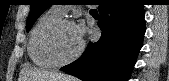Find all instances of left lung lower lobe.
Here are the masks:
<instances>
[{
  "mask_svg": "<svg viewBox=\"0 0 169 81\" xmlns=\"http://www.w3.org/2000/svg\"><path fill=\"white\" fill-rule=\"evenodd\" d=\"M102 30L82 56L61 68L83 81H128L145 33L144 5L138 0H100Z\"/></svg>",
  "mask_w": 169,
  "mask_h": 81,
  "instance_id": "obj_1",
  "label": "left lung lower lobe"
}]
</instances>
